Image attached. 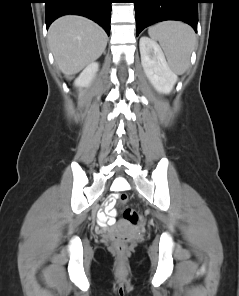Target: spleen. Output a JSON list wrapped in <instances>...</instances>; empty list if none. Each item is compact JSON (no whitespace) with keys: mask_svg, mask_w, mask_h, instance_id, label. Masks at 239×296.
<instances>
[{"mask_svg":"<svg viewBox=\"0 0 239 296\" xmlns=\"http://www.w3.org/2000/svg\"><path fill=\"white\" fill-rule=\"evenodd\" d=\"M148 34L159 41L171 70L179 75L185 73L196 44L193 29L185 23L165 21L149 27Z\"/></svg>","mask_w":239,"mask_h":296,"instance_id":"1","label":"spleen"}]
</instances>
